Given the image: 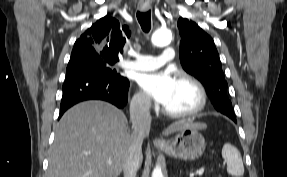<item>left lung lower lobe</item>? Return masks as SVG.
I'll return each mask as SVG.
<instances>
[{
  "label": "left lung lower lobe",
  "mask_w": 287,
  "mask_h": 177,
  "mask_svg": "<svg viewBox=\"0 0 287 177\" xmlns=\"http://www.w3.org/2000/svg\"><path fill=\"white\" fill-rule=\"evenodd\" d=\"M228 117L231 118L234 122H236L235 115L234 116H228Z\"/></svg>",
  "instance_id": "left-lung-lower-lobe-1"
}]
</instances>
